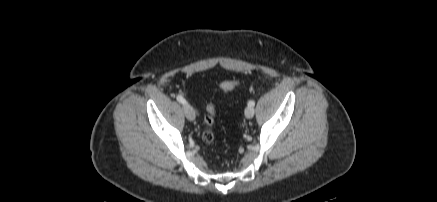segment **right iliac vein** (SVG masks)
<instances>
[{"mask_svg": "<svg viewBox=\"0 0 437 202\" xmlns=\"http://www.w3.org/2000/svg\"><path fill=\"white\" fill-rule=\"evenodd\" d=\"M183 110H184V114H185L186 118L189 121H194L195 120V112H194L193 108L190 105L185 104L183 106Z\"/></svg>", "mask_w": 437, "mask_h": 202, "instance_id": "obj_1", "label": "right iliac vein"}]
</instances>
